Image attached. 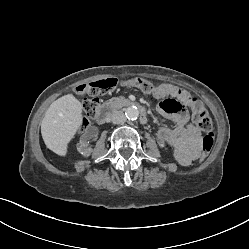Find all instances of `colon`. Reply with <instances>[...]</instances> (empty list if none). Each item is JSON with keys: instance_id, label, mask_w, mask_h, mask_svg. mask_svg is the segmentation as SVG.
Instances as JSON below:
<instances>
[{"instance_id": "1", "label": "colon", "mask_w": 249, "mask_h": 249, "mask_svg": "<svg viewBox=\"0 0 249 249\" xmlns=\"http://www.w3.org/2000/svg\"><path fill=\"white\" fill-rule=\"evenodd\" d=\"M115 85L116 80L103 79L88 83H82L74 88V92L76 94L86 97L83 105V129L87 127L89 120L94 118L97 113L99 106V96L106 94ZM123 85L137 88L144 93L151 94L154 96L163 95L162 89L159 86L143 78L137 77L125 80L123 82ZM194 120L199 129L202 130L204 133V137L202 139V157H204L210 152L214 143L213 122L207 109L200 102L195 105Z\"/></svg>"}]
</instances>
